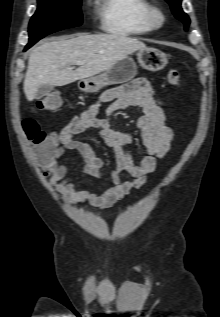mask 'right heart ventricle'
Listing matches in <instances>:
<instances>
[{"instance_id":"obj_1","label":"right heart ventricle","mask_w":220,"mask_h":317,"mask_svg":"<svg viewBox=\"0 0 220 317\" xmlns=\"http://www.w3.org/2000/svg\"><path fill=\"white\" fill-rule=\"evenodd\" d=\"M148 0H97L101 28L118 36L147 34L153 30L148 18Z\"/></svg>"}]
</instances>
